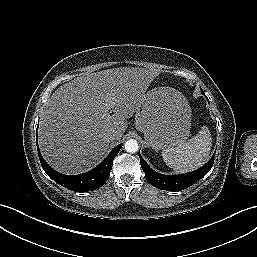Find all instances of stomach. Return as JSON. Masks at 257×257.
I'll list each match as a JSON object with an SVG mask.
<instances>
[{"instance_id":"stomach-1","label":"stomach","mask_w":257,"mask_h":257,"mask_svg":"<svg viewBox=\"0 0 257 257\" xmlns=\"http://www.w3.org/2000/svg\"><path fill=\"white\" fill-rule=\"evenodd\" d=\"M135 126L154 150L175 147L189 137L191 108L179 91L157 87L148 91L137 107Z\"/></svg>"}]
</instances>
